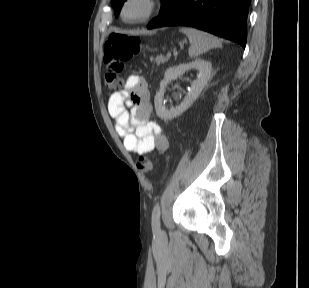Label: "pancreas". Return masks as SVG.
I'll use <instances>...</instances> for the list:
<instances>
[{
  "label": "pancreas",
  "mask_w": 309,
  "mask_h": 288,
  "mask_svg": "<svg viewBox=\"0 0 309 288\" xmlns=\"http://www.w3.org/2000/svg\"><path fill=\"white\" fill-rule=\"evenodd\" d=\"M167 61L168 58H165L163 55L156 56L154 59H152V62L157 65L164 64Z\"/></svg>",
  "instance_id": "pancreas-1"
}]
</instances>
